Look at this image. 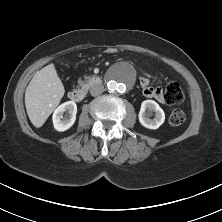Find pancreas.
<instances>
[{"label": "pancreas", "instance_id": "cf45deb5", "mask_svg": "<svg viewBox=\"0 0 222 222\" xmlns=\"http://www.w3.org/2000/svg\"><path fill=\"white\" fill-rule=\"evenodd\" d=\"M94 80H95V77H86L84 81L79 80L78 84L82 87H87L91 85Z\"/></svg>", "mask_w": 222, "mask_h": 222}]
</instances>
